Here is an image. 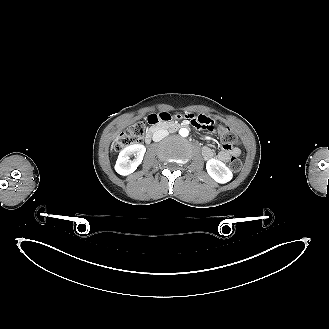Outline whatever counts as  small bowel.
Here are the masks:
<instances>
[{"label": "small bowel", "instance_id": "obj_1", "mask_svg": "<svg viewBox=\"0 0 329 329\" xmlns=\"http://www.w3.org/2000/svg\"><path fill=\"white\" fill-rule=\"evenodd\" d=\"M165 117H171V114H165ZM173 121L179 122L182 121L185 123L193 124L195 127L202 129L205 133H211L214 129L218 128L219 123L216 120H210L206 115L192 114L190 112L179 114L175 113L172 116ZM202 154L206 159H212L214 157V152L209 147H204L202 149ZM240 149L237 147L234 148H225L218 152L216 158L222 162H227L231 157L239 156Z\"/></svg>", "mask_w": 329, "mask_h": 329}]
</instances>
